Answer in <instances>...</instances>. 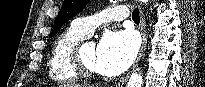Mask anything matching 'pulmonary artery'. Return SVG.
I'll return each mask as SVG.
<instances>
[{
  "label": "pulmonary artery",
  "instance_id": "1",
  "mask_svg": "<svg viewBox=\"0 0 205 87\" xmlns=\"http://www.w3.org/2000/svg\"><path fill=\"white\" fill-rule=\"evenodd\" d=\"M128 15V9L125 6L111 7L97 14L76 19L72 22L71 27L84 37H89L101 24L124 20L128 18Z\"/></svg>",
  "mask_w": 205,
  "mask_h": 87
}]
</instances>
